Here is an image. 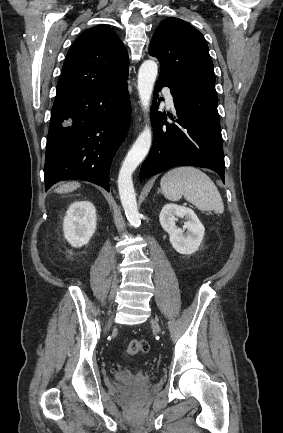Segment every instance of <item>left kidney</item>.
I'll list each match as a JSON object with an SVG mask.
<instances>
[{
	"label": "left kidney",
	"mask_w": 283,
	"mask_h": 433,
	"mask_svg": "<svg viewBox=\"0 0 283 433\" xmlns=\"http://www.w3.org/2000/svg\"><path fill=\"white\" fill-rule=\"evenodd\" d=\"M178 217L187 219L183 228H178L175 224ZM159 220L162 228L169 234L173 248L178 253L190 255L198 250L205 234V228L192 209L169 203L162 208Z\"/></svg>",
	"instance_id": "left-kidney-1"
}]
</instances>
